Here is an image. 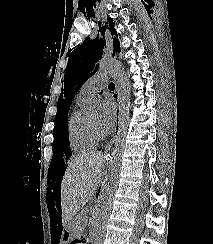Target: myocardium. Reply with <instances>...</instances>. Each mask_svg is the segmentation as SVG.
Returning a JSON list of instances; mask_svg holds the SVG:
<instances>
[{"label": "myocardium", "mask_w": 213, "mask_h": 244, "mask_svg": "<svg viewBox=\"0 0 213 244\" xmlns=\"http://www.w3.org/2000/svg\"><path fill=\"white\" fill-rule=\"evenodd\" d=\"M91 126L95 132V134L98 136V137H103L104 136V132L102 131L101 127L96 125L95 123H93L91 120Z\"/></svg>", "instance_id": "myocardium-1"}]
</instances>
